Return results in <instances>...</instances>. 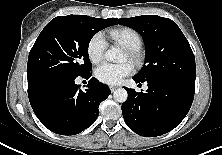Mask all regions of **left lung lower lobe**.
<instances>
[{
    "label": "left lung lower lobe",
    "instance_id": "obj_1",
    "mask_svg": "<svg viewBox=\"0 0 222 155\" xmlns=\"http://www.w3.org/2000/svg\"><path fill=\"white\" fill-rule=\"evenodd\" d=\"M136 83L145 82L133 77ZM147 91L125 88L127 100L122 104L126 124L138 135L155 137L165 134L187 115L194 98L195 85L177 79L147 80Z\"/></svg>",
    "mask_w": 222,
    "mask_h": 155
}]
</instances>
